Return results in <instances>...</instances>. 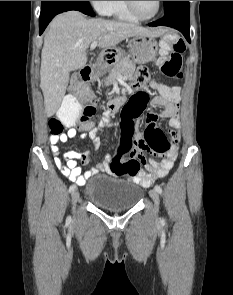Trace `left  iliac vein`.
Instances as JSON below:
<instances>
[{"label": "left iliac vein", "instance_id": "1", "mask_svg": "<svg viewBox=\"0 0 233 295\" xmlns=\"http://www.w3.org/2000/svg\"><path fill=\"white\" fill-rule=\"evenodd\" d=\"M149 195L152 198L153 202H154V209L155 212H158L159 209V195L158 192L155 189H152L149 191Z\"/></svg>", "mask_w": 233, "mask_h": 295}]
</instances>
